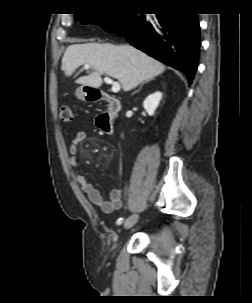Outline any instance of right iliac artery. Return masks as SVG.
Here are the masks:
<instances>
[{
  "label": "right iliac artery",
  "mask_w": 252,
  "mask_h": 303,
  "mask_svg": "<svg viewBox=\"0 0 252 303\" xmlns=\"http://www.w3.org/2000/svg\"><path fill=\"white\" fill-rule=\"evenodd\" d=\"M122 221H123V218H119V219L117 220V224H121Z\"/></svg>",
  "instance_id": "82829eb1"
}]
</instances>
